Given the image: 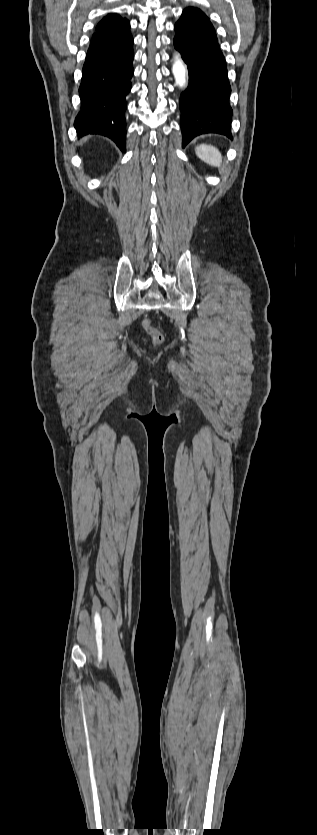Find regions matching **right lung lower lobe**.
I'll return each mask as SVG.
<instances>
[{
	"mask_svg": "<svg viewBox=\"0 0 317 835\" xmlns=\"http://www.w3.org/2000/svg\"><path fill=\"white\" fill-rule=\"evenodd\" d=\"M133 58L130 34L114 42L98 32L92 36L79 88L81 111L74 122L78 135H104L125 152L124 115Z\"/></svg>",
	"mask_w": 317,
	"mask_h": 835,
	"instance_id": "right-lung-lower-lobe-1",
	"label": "right lung lower lobe"
}]
</instances>
